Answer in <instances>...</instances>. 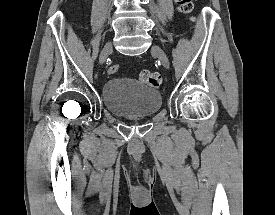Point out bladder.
Returning <instances> with one entry per match:
<instances>
[{
  "mask_svg": "<svg viewBox=\"0 0 275 215\" xmlns=\"http://www.w3.org/2000/svg\"><path fill=\"white\" fill-rule=\"evenodd\" d=\"M102 102L113 115L145 118L159 111L162 98L158 90L144 82L112 78L102 87Z\"/></svg>",
  "mask_w": 275,
  "mask_h": 215,
  "instance_id": "bladder-1",
  "label": "bladder"
}]
</instances>
